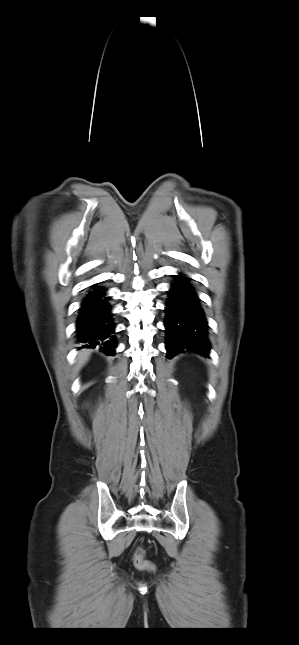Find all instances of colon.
Returning <instances> with one entry per match:
<instances>
[{
    "label": "colon",
    "instance_id": "5ec220e1",
    "mask_svg": "<svg viewBox=\"0 0 299 645\" xmlns=\"http://www.w3.org/2000/svg\"><path fill=\"white\" fill-rule=\"evenodd\" d=\"M133 561H134L135 566L137 568H139V569H142V570H152V569H154L153 564L145 559L144 550L142 548H138L135 551V553L133 555Z\"/></svg>",
    "mask_w": 299,
    "mask_h": 645
}]
</instances>
